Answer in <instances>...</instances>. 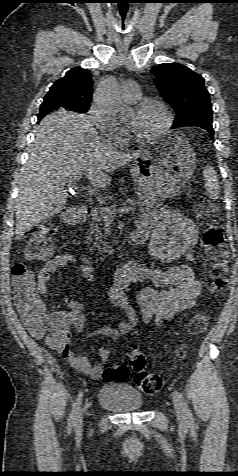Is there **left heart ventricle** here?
Here are the masks:
<instances>
[{"instance_id":"b2bd125f","label":"left heart ventricle","mask_w":238,"mask_h":476,"mask_svg":"<svg viewBox=\"0 0 238 476\" xmlns=\"http://www.w3.org/2000/svg\"><path fill=\"white\" fill-rule=\"evenodd\" d=\"M163 111L157 106H149L141 111L131 110L125 122L136 134L146 136L158 130L164 123Z\"/></svg>"}]
</instances>
